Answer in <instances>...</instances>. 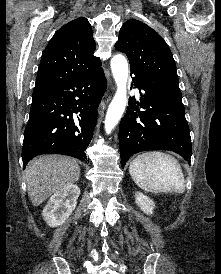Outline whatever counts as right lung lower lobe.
Masks as SVG:
<instances>
[{
	"label": "right lung lower lobe",
	"instance_id": "1",
	"mask_svg": "<svg viewBox=\"0 0 221 274\" xmlns=\"http://www.w3.org/2000/svg\"><path fill=\"white\" fill-rule=\"evenodd\" d=\"M106 84L104 72L99 68L90 75L33 95L24 132V168L41 154H63L89 161L85 149L93 136L97 108Z\"/></svg>",
	"mask_w": 221,
	"mask_h": 274
}]
</instances>
